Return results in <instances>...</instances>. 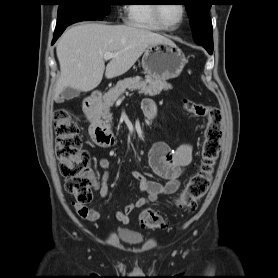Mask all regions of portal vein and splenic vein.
I'll use <instances>...</instances> for the list:
<instances>
[{
    "label": "portal vein and splenic vein",
    "mask_w": 278,
    "mask_h": 278,
    "mask_svg": "<svg viewBox=\"0 0 278 278\" xmlns=\"http://www.w3.org/2000/svg\"><path fill=\"white\" fill-rule=\"evenodd\" d=\"M117 55H118V54L106 52V53L104 54V59H105V60H109V59H111V58H113V57H115V56H117Z\"/></svg>",
    "instance_id": "1"
}]
</instances>
